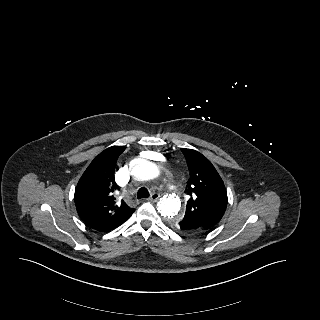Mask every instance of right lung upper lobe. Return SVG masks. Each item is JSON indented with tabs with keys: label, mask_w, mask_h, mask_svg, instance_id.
<instances>
[{
	"label": "right lung upper lobe",
	"mask_w": 320,
	"mask_h": 320,
	"mask_svg": "<svg viewBox=\"0 0 320 320\" xmlns=\"http://www.w3.org/2000/svg\"><path fill=\"white\" fill-rule=\"evenodd\" d=\"M124 146H112L97 155L80 178L74 201L79 217L97 231L109 232L130 218L135 209L116 198L114 172Z\"/></svg>",
	"instance_id": "cb5924a9"
}]
</instances>
